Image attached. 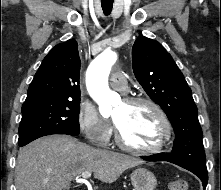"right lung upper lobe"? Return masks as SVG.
I'll return each instance as SVG.
<instances>
[{"label":"right lung upper lobe","instance_id":"obj_1","mask_svg":"<svg viewBox=\"0 0 221 190\" xmlns=\"http://www.w3.org/2000/svg\"><path fill=\"white\" fill-rule=\"evenodd\" d=\"M79 75L80 57L76 40L56 45L43 59L23 105L80 99Z\"/></svg>","mask_w":221,"mask_h":190}]
</instances>
